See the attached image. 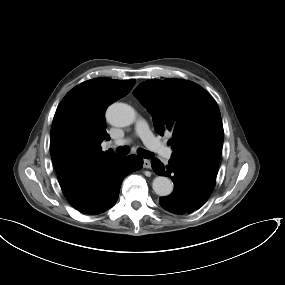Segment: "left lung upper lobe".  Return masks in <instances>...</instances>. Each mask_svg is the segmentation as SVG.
I'll return each instance as SVG.
<instances>
[{
	"label": "left lung upper lobe",
	"mask_w": 285,
	"mask_h": 285,
	"mask_svg": "<svg viewBox=\"0 0 285 285\" xmlns=\"http://www.w3.org/2000/svg\"><path fill=\"white\" fill-rule=\"evenodd\" d=\"M133 95L152 115L157 133H173L172 158L218 170L223 125L218 105L206 90L187 80H149Z\"/></svg>",
	"instance_id": "1"
}]
</instances>
